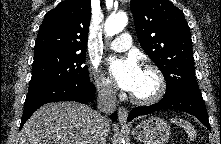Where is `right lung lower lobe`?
Here are the masks:
<instances>
[{"mask_svg": "<svg viewBox=\"0 0 221 144\" xmlns=\"http://www.w3.org/2000/svg\"><path fill=\"white\" fill-rule=\"evenodd\" d=\"M95 88L89 81L88 83L62 82L50 85L37 93L27 96L24 103V112L21 119V127L27 119L42 105L57 101H76L88 103L94 99ZM113 121L116 120V113L111 115Z\"/></svg>", "mask_w": 221, "mask_h": 144, "instance_id": "98d812e1", "label": "right lung lower lobe"}]
</instances>
